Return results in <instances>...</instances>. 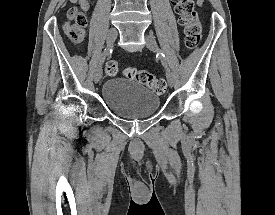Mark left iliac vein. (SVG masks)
<instances>
[{
	"label": "left iliac vein",
	"mask_w": 275,
	"mask_h": 215,
	"mask_svg": "<svg viewBox=\"0 0 275 215\" xmlns=\"http://www.w3.org/2000/svg\"><path fill=\"white\" fill-rule=\"evenodd\" d=\"M146 46L151 51H157V42L152 35L146 36ZM166 78H167L169 86L172 87L174 85V78H173V74L169 68H166Z\"/></svg>",
	"instance_id": "left-iliac-vein-1"
}]
</instances>
